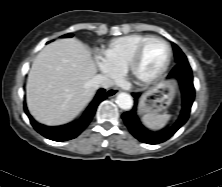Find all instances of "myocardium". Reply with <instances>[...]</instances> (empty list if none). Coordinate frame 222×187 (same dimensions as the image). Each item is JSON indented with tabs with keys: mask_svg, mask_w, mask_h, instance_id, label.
<instances>
[{
	"mask_svg": "<svg viewBox=\"0 0 222 187\" xmlns=\"http://www.w3.org/2000/svg\"><path fill=\"white\" fill-rule=\"evenodd\" d=\"M155 41L162 42L167 46L168 56H167L166 62L164 64V66L161 68V70L158 73H156L155 75H153L151 77H142L138 73V68L141 63L144 51L149 44H151L152 42H155ZM172 56H173L172 46L167 40H165L164 38H161V37H150L149 39L144 41L136 49L135 53L133 54V56L127 66L126 72H127L128 76L137 84H140V85L153 84L156 81H158L166 73L167 69L170 66Z\"/></svg>",
	"mask_w": 222,
	"mask_h": 187,
	"instance_id": "f54148a6",
	"label": "myocardium"
}]
</instances>
